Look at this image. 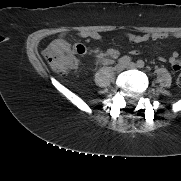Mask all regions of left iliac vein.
Instances as JSON below:
<instances>
[{
  "mask_svg": "<svg viewBox=\"0 0 181 181\" xmlns=\"http://www.w3.org/2000/svg\"><path fill=\"white\" fill-rule=\"evenodd\" d=\"M136 67H137V65L133 62H130L126 65V68H136Z\"/></svg>",
  "mask_w": 181,
  "mask_h": 181,
  "instance_id": "obj_1",
  "label": "left iliac vein"
}]
</instances>
